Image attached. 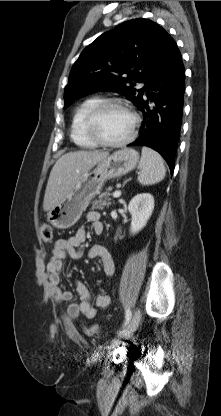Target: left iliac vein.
I'll list each match as a JSON object with an SVG mask.
<instances>
[{
  "mask_svg": "<svg viewBox=\"0 0 221 416\" xmlns=\"http://www.w3.org/2000/svg\"><path fill=\"white\" fill-rule=\"evenodd\" d=\"M141 320V312L140 310H136L133 314L131 321L128 325L122 329L118 334L117 337L111 340V347H115L120 343L121 339L129 338L133 333L137 330L138 325Z\"/></svg>",
  "mask_w": 221,
  "mask_h": 416,
  "instance_id": "1",
  "label": "left iliac vein"
}]
</instances>
